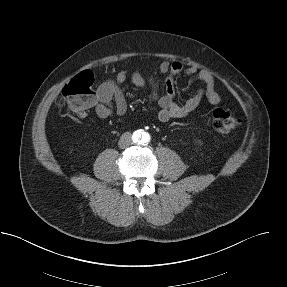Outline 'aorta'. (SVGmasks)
Masks as SVG:
<instances>
[{
  "instance_id": "obj_1",
  "label": "aorta",
  "mask_w": 287,
  "mask_h": 287,
  "mask_svg": "<svg viewBox=\"0 0 287 287\" xmlns=\"http://www.w3.org/2000/svg\"><path fill=\"white\" fill-rule=\"evenodd\" d=\"M135 135L138 138V142H140L141 144H146L150 140V135L142 130L136 131Z\"/></svg>"
}]
</instances>
